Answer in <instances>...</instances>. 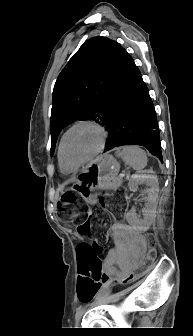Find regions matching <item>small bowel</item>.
Instances as JSON below:
<instances>
[{
  "label": "small bowel",
  "mask_w": 193,
  "mask_h": 336,
  "mask_svg": "<svg viewBox=\"0 0 193 336\" xmlns=\"http://www.w3.org/2000/svg\"><path fill=\"white\" fill-rule=\"evenodd\" d=\"M111 236L114 240V247L108 251L103 265L109 277L115 280L121 273H129L141 265L145 241L131 227L120 222L114 224ZM78 270L79 290L86 289L89 293L95 290L96 284L90 282L89 274L80 271L79 266Z\"/></svg>",
  "instance_id": "obj_1"
}]
</instances>
